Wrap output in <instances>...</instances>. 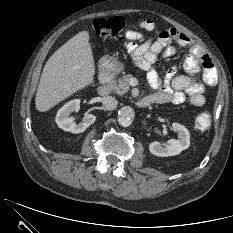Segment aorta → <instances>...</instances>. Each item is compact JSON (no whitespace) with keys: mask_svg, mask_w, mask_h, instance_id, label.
Segmentation results:
<instances>
[{"mask_svg":"<svg viewBox=\"0 0 233 233\" xmlns=\"http://www.w3.org/2000/svg\"><path fill=\"white\" fill-rule=\"evenodd\" d=\"M134 117V109L130 106H123L118 112V122L123 127L130 126L133 122Z\"/></svg>","mask_w":233,"mask_h":233,"instance_id":"762f6f07","label":"aorta"}]
</instances>
